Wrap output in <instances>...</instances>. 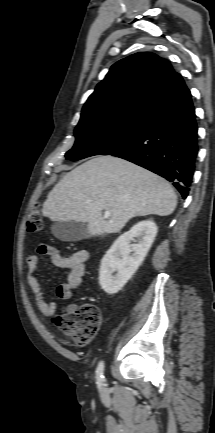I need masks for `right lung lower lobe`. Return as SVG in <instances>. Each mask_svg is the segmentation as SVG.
<instances>
[{
  "mask_svg": "<svg viewBox=\"0 0 215 433\" xmlns=\"http://www.w3.org/2000/svg\"><path fill=\"white\" fill-rule=\"evenodd\" d=\"M195 109L188 88L147 114L136 137L108 155L123 158L173 182L185 199L198 153Z\"/></svg>",
  "mask_w": 215,
  "mask_h": 433,
  "instance_id": "right-lung-lower-lobe-1",
  "label": "right lung lower lobe"
}]
</instances>
